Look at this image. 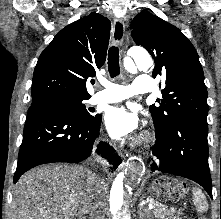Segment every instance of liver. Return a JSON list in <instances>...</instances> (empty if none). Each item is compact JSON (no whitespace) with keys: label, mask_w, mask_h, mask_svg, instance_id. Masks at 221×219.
<instances>
[{"label":"liver","mask_w":221,"mask_h":219,"mask_svg":"<svg viewBox=\"0 0 221 219\" xmlns=\"http://www.w3.org/2000/svg\"><path fill=\"white\" fill-rule=\"evenodd\" d=\"M107 186L83 166L53 164L28 171L13 192L10 219H74L89 211L95 185Z\"/></svg>","instance_id":"obj_1"}]
</instances>
